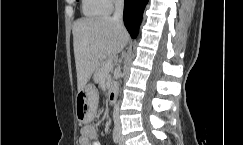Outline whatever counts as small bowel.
<instances>
[{"mask_svg": "<svg viewBox=\"0 0 243 145\" xmlns=\"http://www.w3.org/2000/svg\"><path fill=\"white\" fill-rule=\"evenodd\" d=\"M79 145H101L93 126L87 125L81 129L78 139Z\"/></svg>", "mask_w": 243, "mask_h": 145, "instance_id": "c3829d8e", "label": "small bowel"}]
</instances>
